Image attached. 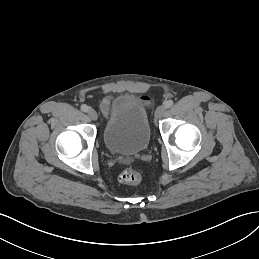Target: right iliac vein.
<instances>
[{
	"instance_id": "1",
	"label": "right iliac vein",
	"mask_w": 259,
	"mask_h": 259,
	"mask_svg": "<svg viewBox=\"0 0 259 259\" xmlns=\"http://www.w3.org/2000/svg\"><path fill=\"white\" fill-rule=\"evenodd\" d=\"M87 115L89 116V118L93 121H96L98 116H97V113L94 109L90 108L88 109L87 111Z\"/></svg>"
}]
</instances>
